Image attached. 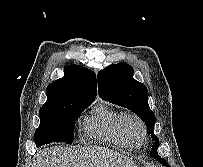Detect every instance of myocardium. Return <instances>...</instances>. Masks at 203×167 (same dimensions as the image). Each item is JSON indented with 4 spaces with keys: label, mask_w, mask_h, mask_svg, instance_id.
Listing matches in <instances>:
<instances>
[{
    "label": "myocardium",
    "mask_w": 203,
    "mask_h": 167,
    "mask_svg": "<svg viewBox=\"0 0 203 167\" xmlns=\"http://www.w3.org/2000/svg\"><path fill=\"white\" fill-rule=\"evenodd\" d=\"M131 123H136L140 128V132H141L140 142H135L130 135L129 125ZM121 129H122V132H123L125 138L127 139V141L129 142V144L131 146H141L146 140L147 132H146L145 123L139 116H137L135 114L124 115V117L122 118V121H121Z\"/></svg>",
    "instance_id": "f54148a6"
}]
</instances>
